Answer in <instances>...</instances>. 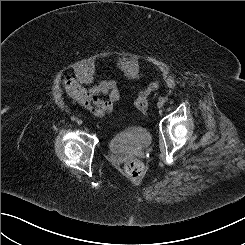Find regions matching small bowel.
I'll return each instance as SVG.
<instances>
[{
    "label": "small bowel",
    "instance_id": "1",
    "mask_svg": "<svg viewBox=\"0 0 245 245\" xmlns=\"http://www.w3.org/2000/svg\"><path fill=\"white\" fill-rule=\"evenodd\" d=\"M63 85L71 99L97 118L112 112L115 104L120 100V90L115 79L103 80L87 89L76 78L66 76ZM101 95L108 96V99L101 100L99 98Z\"/></svg>",
    "mask_w": 245,
    "mask_h": 245
}]
</instances>
